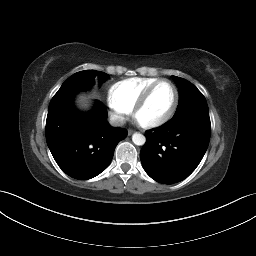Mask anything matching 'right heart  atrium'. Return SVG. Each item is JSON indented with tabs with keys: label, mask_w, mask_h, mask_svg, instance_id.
I'll return each mask as SVG.
<instances>
[{
	"label": "right heart atrium",
	"mask_w": 256,
	"mask_h": 256,
	"mask_svg": "<svg viewBox=\"0 0 256 256\" xmlns=\"http://www.w3.org/2000/svg\"><path fill=\"white\" fill-rule=\"evenodd\" d=\"M110 105V115L113 120L120 124L123 123L131 114V111L125 107L117 106L112 103Z\"/></svg>",
	"instance_id": "obj_1"
}]
</instances>
